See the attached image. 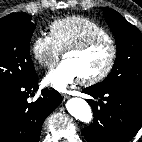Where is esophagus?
I'll list each match as a JSON object with an SVG mask.
<instances>
[{"mask_svg":"<svg viewBox=\"0 0 142 142\" xmlns=\"http://www.w3.org/2000/svg\"><path fill=\"white\" fill-rule=\"evenodd\" d=\"M69 97H70V96L67 95V94H62V98H63L64 101L67 100Z\"/></svg>","mask_w":142,"mask_h":142,"instance_id":"esophagus-1","label":"esophagus"}]
</instances>
